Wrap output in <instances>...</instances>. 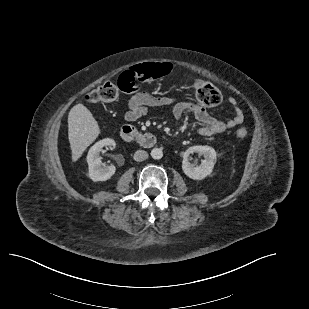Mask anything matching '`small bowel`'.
<instances>
[{"label": "small bowel", "instance_id": "small-bowel-1", "mask_svg": "<svg viewBox=\"0 0 309 309\" xmlns=\"http://www.w3.org/2000/svg\"><path fill=\"white\" fill-rule=\"evenodd\" d=\"M125 87L132 88L131 82L127 81ZM135 90L133 89L131 92ZM228 103L233 108L235 115L230 119L222 120L212 116L204 107L191 100L177 101L173 97L155 96L145 91H138L128 100L125 119L130 122L136 121L147 115L152 108L170 106L171 114L175 119L181 118L186 113H191L196 120L203 124L199 129V134L208 137L220 134L243 122L244 114L237 100L231 97L228 99Z\"/></svg>", "mask_w": 309, "mask_h": 309}]
</instances>
